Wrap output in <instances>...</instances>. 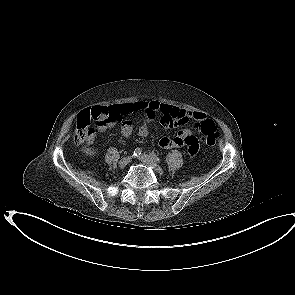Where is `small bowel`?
I'll return each mask as SVG.
<instances>
[{"label": "small bowel", "instance_id": "small-bowel-1", "mask_svg": "<svg viewBox=\"0 0 295 295\" xmlns=\"http://www.w3.org/2000/svg\"><path fill=\"white\" fill-rule=\"evenodd\" d=\"M110 110L111 116L100 120L98 123L99 130L103 131L113 127L116 119L127 116L134 112L144 114V120L139 126L138 134L146 137L149 133V124L160 115L163 125L173 127L178 124L188 123L190 120L202 121L205 119V114L202 112H194L169 104L161 103L156 100L152 101H135L106 107ZM133 132V124L130 120H124L121 125V134L124 137H129ZM159 145L162 148H181L186 147L189 153L194 154L199 148V141L189 130L183 129L173 137H162L159 140ZM85 152L93 156L96 154L94 148L87 147Z\"/></svg>", "mask_w": 295, "mask_h": 295}]
</instances>
